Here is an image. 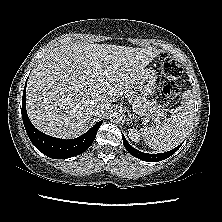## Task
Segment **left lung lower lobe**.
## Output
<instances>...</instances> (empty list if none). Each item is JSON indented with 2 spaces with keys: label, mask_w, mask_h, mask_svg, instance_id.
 Returning a JSON list of instances; mask_svg holds the SVG:
<instances>
[{
  "label": "left lung lower lobe",
  "mask_w": 222,
  "mask_h": 222,
  "mask_svg": "<svg viewBox=\"0 0 222 222\" xmlns=\"http://www.w3.org/2000/svg\"><path fill=\"white\" fill-rule=\"evenodd\" d=\"M122 139H123V143H124V146L126 148V150L134 157L136 158H139L143 161H149V162H156V161H161V160H164L168 157H170L172 154H174L180 147H181V144L172 149L171 151H168V152H165V153H159V154H148V153H143V152H140L138 150H136L135 148H133L129 143L128 141L126 140V138L122 135Z\"/></svg>",
  "instance_id": "left-lung-lower-lobe-1"
}]
</instances>
